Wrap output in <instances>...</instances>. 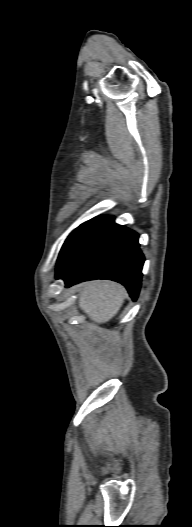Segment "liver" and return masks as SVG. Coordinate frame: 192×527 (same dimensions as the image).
I'll return each instance as SVG.
<instances>
[{
  "mask_svg": "<svg viewBox=\"0 0 192 527\" xmlns=\"http://www.w3.org/2000/svg\"><path fill=\"white\" fill-rule=\"evenodd\" d=\"M79 307L94 322L106 323L120 310L125 288L112 281H91L80 285Z\"/></svg>",
  "mask_w": 192,
  "mask_h": 527,
  "instance_id": "obj_1",
  "label": "liver"
}]
</instances>
